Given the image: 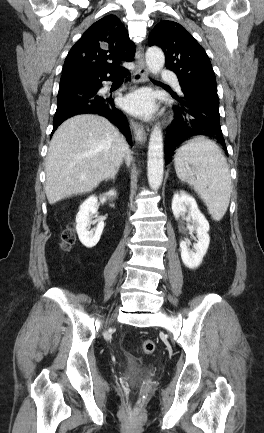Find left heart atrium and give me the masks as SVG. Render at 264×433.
Here are the masks:
<instances>
[{
	"label": "left heart atrium",
	"instance_id": "left-heart-atrium-1",
	"mask_svg": "<svg viewBox=\"0 0 264 433\" xmlns=\"http://www.w3.org/2000/svg\"><path fill=\"white\" fill-rule=\"evenodd\" d=\"M123 107L132 114L148 116L154 110L153 97L149 91L139 90L124 99Z\"/></svg>",
	"mask_w": 264,
	"mask_h": 433
}]
</instances>
